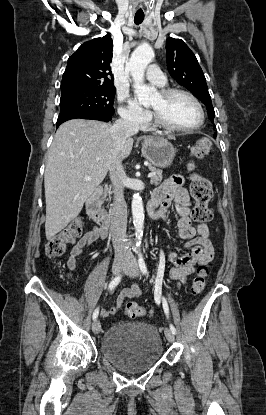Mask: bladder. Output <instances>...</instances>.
<instances>
[{"label": "bladder", "mask_w": 266, "mask_h": 415, "mask_svg": "<svg viewBox=\"0 0 266 415\" xmlns=\"http://www.w3.org/2000/svg\"><path fill=\"white\" fill-rule=\"evenodd\" d=\"M100 349L108 361L127 373L148 370L163 356L159 332L143 323L113 325L104 334Z\"/></svg>", "instance_id": "bladder-1"}]
</instances>
